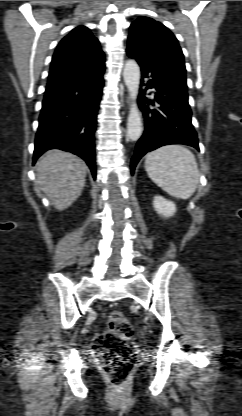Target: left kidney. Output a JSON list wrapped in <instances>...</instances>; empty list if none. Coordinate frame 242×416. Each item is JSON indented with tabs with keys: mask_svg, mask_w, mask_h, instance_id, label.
Here are the masks:
<instances>
[{
	"mask_svg": "<svg viewBox=\"0 0 242 416\" xmlns=\"http://www.w3.org/2000/svg\"><path fill=\"white\" fill-rule=\"evenodd\" d=\"M153 206L156 212L163 217L173 216L176 212V205L161 196L154 197Z\"/></svg>",
	"mask_w": 242,
	"mask_h": 416,
	"instance_id": "left-kidney-1",
	"label": "left kidney"
}]
</instances>
